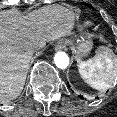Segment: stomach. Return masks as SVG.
<instances>
[{"label":"stomach","mask_w":117,"mask_h":117,"mask_svg":"<svg viewBox=\"0 0 117 117\" xmlns=\"http://www.w3.org/2000/svg\"><path fill=\"white\" fill-rule=\"evenodd\" d=\"M77 59L82 58L92 49V42L88 39L80 38L71 43Z\"/></svg>","instance_id":"0dacf381"}]
</instances>
